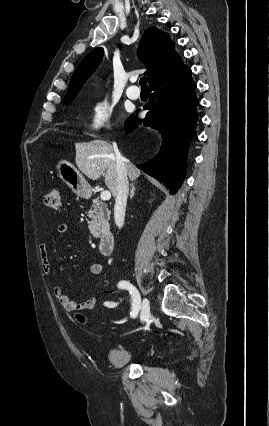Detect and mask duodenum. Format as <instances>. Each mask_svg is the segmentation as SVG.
Here are the masks:
<instances>
[{"label": "duodenum", "mask_w": 269, "mask_h": 426, "mask_svg": "<svg viewBox=\"0 0 269 426\" xmlns=\"http://www.w3.org/2000/svg\"><path fill=\"white\" fill-rule=\"evenodd\" d=\"M115 237L112 231L104 232L99 239V251L104 256H109L113 252Z\"/></svg>", "instance_id": "obj_1"}]
</instances>
